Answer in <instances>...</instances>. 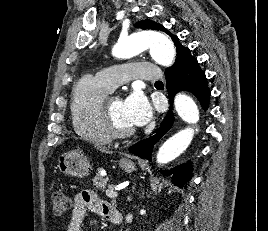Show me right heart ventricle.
Segmentation results:
<instances>
[{"label": "right heart ventricle", "instance_id": "e07e8e85", "mask_svg": "<svg viewBox=\"0 0 268 231\" xmlns=\"http://www.w3.org/2000/svg\"><path fill=\"white\" fill-rule=\"evenodd\" d=\"M111 91L97 77L85 76L78 82L70 102L72 125L77 135L100 145L112 141L103 115V104Z\"/></svg>", "mask_w": 268, "mask_h": 231}]
</instances>
